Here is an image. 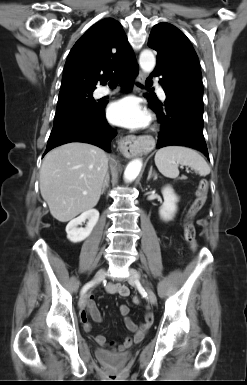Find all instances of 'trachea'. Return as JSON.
Listing matches in <instances>:
<instances>
[{
  "instance_id": "trachea-1",
  "label": "trachea",
  "mask_w": 247,
  "mask_h": 385,
  "mask_svg": "<svg viewBox=\"0 0 247 385\" xmlns=\"http://www.w3.org/2000/svg\"><path fill=\"white\" fill-rule=\"evenodd\" d=\"M118 82H119V80H118V79H116V78H112V79L110 80L109 84H111V85H117V84H118Z\"/></svg>"
}]
</instances>
